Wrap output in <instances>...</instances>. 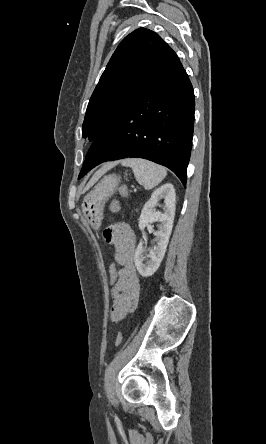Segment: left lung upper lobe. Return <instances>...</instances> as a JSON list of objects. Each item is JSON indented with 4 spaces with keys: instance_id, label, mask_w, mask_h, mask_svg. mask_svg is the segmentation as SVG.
I'll list each match as a JSON object with an SVG mask.
<instances>
[{
    "instance_id": "5c2ea615",
    "label": "left lung upper lobe",
    "mask_w": 266,
    "mask_h": 444,
    "mask_svg": "<svg viewBox=\"0 0 266 444\" xmlns=\"http://www.w3.org/2000/svg\"><path fill=\"white\" fill-rule=\"evenodd\" d=\"M180 64L176 53L155 32L139 28L126 36L89 100L83 122L85 137L95 141L121 112Z\"/></svg>"
}]
</instances>
